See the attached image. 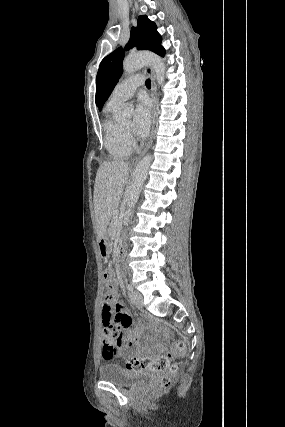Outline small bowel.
Returning a JSON list of instances; mask_svg holds the SVG:
<instances>
[{
	"label": "small bowel",
	"instance_id": "c3829d8e",
	"mask_svg": "<svg viewBox=\"0 0 285 427\" xmlns=\"http://www.w3.org/2000/svg\"><path fill=\"white\" fill-rule=\"evenodd\" d=\"M101 313L103 327H108L117 323L123 330L122 344L119 350H126L127 345L125 342L127 340H132L137 335V332L132 329V320L125 312L124 305L118 301L117 294H114L110 302L102 303Z\"/></svg>",
	"mask_w": 285,
	"mask_h": 427
}]
</instances>
